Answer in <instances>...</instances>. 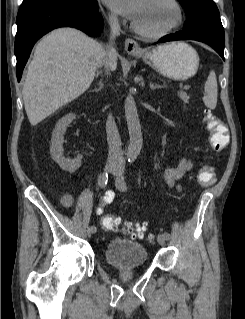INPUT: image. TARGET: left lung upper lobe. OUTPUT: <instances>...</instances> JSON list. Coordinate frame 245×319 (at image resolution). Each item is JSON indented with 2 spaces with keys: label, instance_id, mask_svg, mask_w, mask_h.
I'll list each match as a JSON object with an SVG mask.
<instances>
[{
  "label": "left lung upper lobe",
  "instance_id": "1",
  "mask_svg": "<svg viewBox=\"0 0 245 319\" xmlns=\"http://www.w3.org/2000/svg\"><path fill=\"white\" fill-rule=\"evenodd\" d=\"M184 7L187 21L184 29L204 28L224 36L219 10L213 0H178Z\"/></svg>",
  "mask_w": 245,
  "mask_h": 319
}]
</instances>
